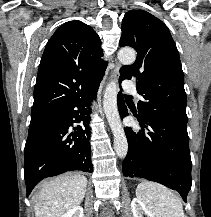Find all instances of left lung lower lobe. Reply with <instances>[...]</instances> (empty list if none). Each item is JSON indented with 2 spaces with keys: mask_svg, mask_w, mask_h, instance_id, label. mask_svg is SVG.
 I'll return each mask as SVG.
<instances>
[{
  "mask_svg": "<svg viewBox=\"0 0 211 217\" xmlns=\"http://www.w3.org/2000/svg\"><path fill=\"white\" fill-rule=\"evenodd\" d=\"M118 109L121 118L129 115L121 93ZM138 120L142 133L136 135L131 128H125L128 153L122 165L124 176L161 183L177 190L186 202L192 184L187 129L164 120Z\"/></svg>",
  "mask_w": 211,
  "mask_h": 217,
  "instance_id": "1",
  "label": "left lung lower lobe"
}]
</instances>
